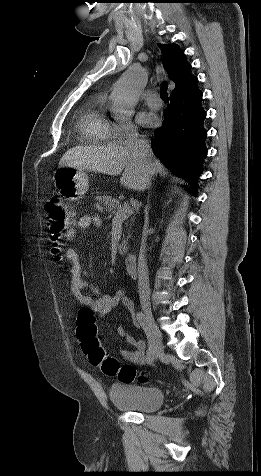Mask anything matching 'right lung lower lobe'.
<instances>
[{
  "label": "right lung lower lobe",
  "mask_w": 261,
  "mask_h": 476,
  "mask_svg": "<svg viewBox=\"0 0 261 476\" xmlns=\"http://www.w3.org/2000/svg\"><path fill=\"white\" fill-rule=\"evenodd\" d=\"M202 95L196 77L172 92L164 123L151 139L155 154L176 175L188 181L194 192L207 154Z\"/></svg>",
  "instance_id": "obj_1"
}]
</instances>
